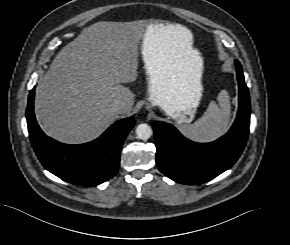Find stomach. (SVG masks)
I'll list each match as a JSON object with an SVG mask.
<instances>
[{
    "label": "stomach",
    "instance_id": "stomach-1",
    "mask_svg": "<svg viewBox=\"0 0 290 245\" xmlns=\"http://www.w3.org/2000/svg\"><path fill=\"white\" fill-rule=\"evenodd\" d=\"M141 55L148 86L146 107L159 106L177 125L189 124L195 117L203 92L202 57L196 56V72L176 70L170 51L159 46L157 25L144 36Z\"/></svg>",
    "mask_w": 290,
    "mask_h": 245
}]
</instances>
